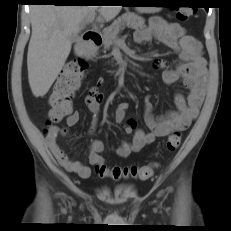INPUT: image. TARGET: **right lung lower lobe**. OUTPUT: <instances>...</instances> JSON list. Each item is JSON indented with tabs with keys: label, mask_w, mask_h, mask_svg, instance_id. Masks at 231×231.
Wrapping results in <instances>:
<instances>
[{
	"label": "right lung lower lobe",
	"mask_w": 231,
	"mask_h": 231,
	"mask_svg": "<svg viewBox=\"0 0 231 231\" xmlns=\"http://www.w3.org/2000/svg\"><path fill=\"white\" fill-rule=\"evenodd\" d=\"M33 4L39 3H53L55 5H80L79 3L73 2L75 0H27Z\"/></svg>",
	"instance_id": "98d812e1"
}]
</instances>
